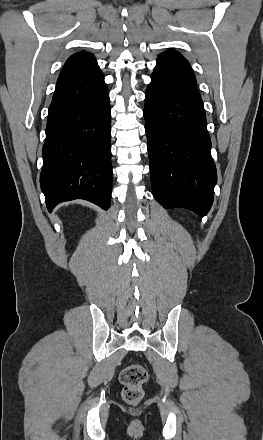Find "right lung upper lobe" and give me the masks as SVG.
I'll return each instance as SVG.
<instances>
[{
    "label": "right lung upper lobe",
    "instance_id": "cb5924a9",
    "mask_svg": "<svg viewBox=\"0 0 263 440\" xmlns=\"http://www.w3.org/2000/svg\"><path fill=\"white\" fill-rule=\"evenodd\" d=\"M99 71V66L93 54L79 52L72 55L65 63L58 77L56 87L70 83L84 76Z\"/></svg>",
    "mask_w": 263,
    "mask_h": 440
}]
</instances>
